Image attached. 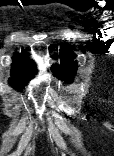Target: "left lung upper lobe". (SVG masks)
<instances>
[{"instance_id":"obj_1","label":"left lung upper lobe","mask_w":114,"mask_h":156,"mask_svg":"<svg viewBox=\"0 0 114 156\" xmlns=\"http://www.w3.org/2000/svg\"><path fill=\"white\" fill-rule=\"evenodd\" d=\"M74 57L75 54L68 48V45L63 46L60 53V65L52 66L55 75L60 79H71L77 68V64L73 62Z\"/></svg>"}]
</instances>
